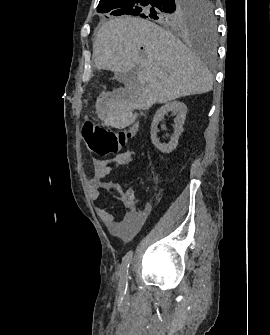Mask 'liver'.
<instances>
[{
    "mask_svg": "<svg viewBox=\"0 0 270 335\" xmlns=\"http://www.w3.org/2000/svg\"><path fill=\"white\" fill-rule=\"evenodd\" d=\"M139 48H144V58ZM97 70L137 74L145 106L205 94L213 78L198 56L157 24L119 16L103 22L93 44Z\"/></svg>",
    "mask_w": 270,
    "mask_h": 335,
    "instance_id": "1",
    "label": "liver"
}]
</instances>
